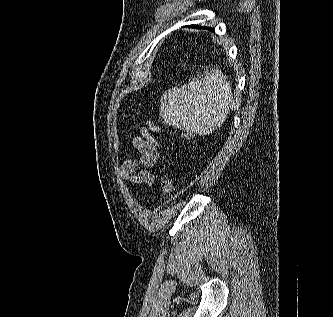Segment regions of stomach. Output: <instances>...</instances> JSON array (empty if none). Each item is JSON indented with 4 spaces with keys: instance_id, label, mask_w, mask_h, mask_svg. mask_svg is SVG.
<instances>
[{
    "instance_id": "0dacf381",
    "label": "stomach",
    "mask_w": 333,
    "mask_h": 317,
    "mask_svg": "<svg viewBox=\"0 0 333 317\" xmlns=\"http://www.w3.org/2000/svg\"><path fill=\"white\" fill-rule=\"evenodd\" d=\"M206 74H211V71H205V75H188V82H222L206 81Z\"/></svg>"
}]
</instances>
